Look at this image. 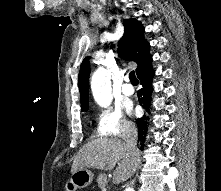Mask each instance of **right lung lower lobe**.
Here are the masks:
<instances>
[{
	"label": "right lung lower lobe",
	"mask_w": 221,
	"mask_h": 191,
	"mask_svg": "<svg viewBox=\"0 0 221 191\" xmlns=\"http://www.w3.org/2000/svg\"><path fill=\"white\" fill-rule=\"evenodd\" d=\"M142 88L137 92L138 98H139V103L142 105L145 110L148 112L149 111V103H150V98H151V93H152V78L154 76V70L152 68L151 63L145 67L143 70H141L137 74ZM146 117L143 116L142 118H138L136 120L137 127H138V139L141 142V150L144 148V140H145V135L147 131V125H146Z\"/></svg>",
	"instance_id": "1"
}]
</instances>
